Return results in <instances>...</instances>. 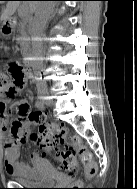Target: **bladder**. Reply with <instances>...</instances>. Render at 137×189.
<instances>
[{
	"instance_id": "31cf9c89",
	"label": "bladder",
	"mask_w": 137,
	"mask_h": 189,
	"mask_svg": "<svg viewBox=\"0 0 137 189\" xmlns=\"http://www.w3.org/2000/svg\"><path fill=\"white\" fill-rule=\"evenodd\" d=\"M11 177L15 181L26 185H50L57 180L58 174L49 161L41 159L38 164L30 167L26 175L15 172Z\"/></svg>"
}]
</instances>
